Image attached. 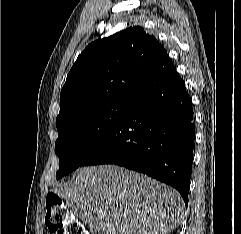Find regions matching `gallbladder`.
Here are the masks:
<instances>
[{
	"label": "gallbladder",
	"mask_w": 241,
	"mask_h": 234,
	"mask_svg": "<svg viewBox=\"0 0 241 234\" xmlns=\"http://www.w3.org/2000/svg\"><path fill=\"white\" fill-rule=\"evenodd\" d=\"M73 211H74V210H73ZM77 216H78L79 218H81V217H82V215H81V213H80V212L77 214Z\"/></svg>",
	"instance_id": "1"
}]
</instances>
